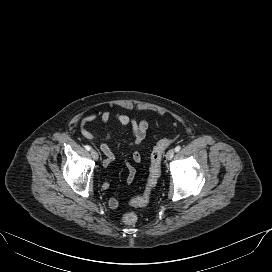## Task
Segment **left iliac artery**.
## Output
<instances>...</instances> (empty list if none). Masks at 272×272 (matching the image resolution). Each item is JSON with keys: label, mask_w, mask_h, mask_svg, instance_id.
<instances>
[{"label": "left iliac artery", "mask_w": 272, "mask_h": 272, "mask_svg": "<svg viewBox=\"0 0 272 272\" xmlns=\"http://www.w3.org/2000/svg\"><path fill=\"white\" fill-rule=\"evenodd\" d=\"M180 149H181V147H180V146H177V147L175 148V151L178 152V151H180Z\"/></svg>", "instance_id": "left-iliac-artery-1"}]
</instances>
